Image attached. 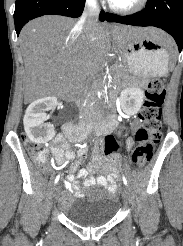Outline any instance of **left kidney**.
<instances>
[{"mask_svg": "<svg viewBox=\"0 0 183 246\" xmlns=\"http://www.w3.org/2000/svg\"><path fill=\"white\" fill-rule=\"evenodd\" d=\"M143 99V91L139 88H125L120 93L121 108L128 115H134L139 112Z\"/></svg>", "mask_w": 183, "mask_h": 246, "instance_id": "left-kidney-1", "label": "left kidney"}]
</instances>
